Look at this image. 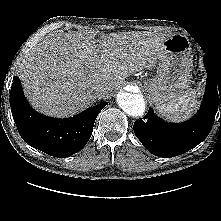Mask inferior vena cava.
Masks as SVG:
<instances>
[{
    "label": "inferior vena cava",
    "instance_id": "inferior-vena-cava-1",
    "mask_svg": "<svg viewBox=\"0 0 221 221\" xmlns=\"http://www.w3.org/2000/svg\"><path fill=\"white\" fill-rule=\"evenodd\" d=\"M93 90H94V94L97 97H100L108 92V87L104 84H98L93 88Z\"/></svg>",
    "mask_w": 221,
    "mask_h": 221
}]
</instances>
